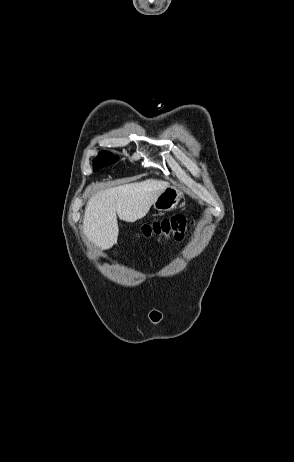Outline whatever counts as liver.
<instances>
[{
	"label": "liver",
	"instance_id": "obj_1",
	"mask_svg": "<svg viewBox=\"0 0 294 462\" xmlns=\"http://www.w3.org/2000/svg\"><path fill=\"white\" fill-rule=\"evenodd\" d=\"M169 183L149 179L106 189L87 202L83 219V234L101 250L117 243V216L126 222L142 219L159 194Z\"/></svg>",
	"mask_w": 294,
	"mask_h": 462
}]
</instances>
